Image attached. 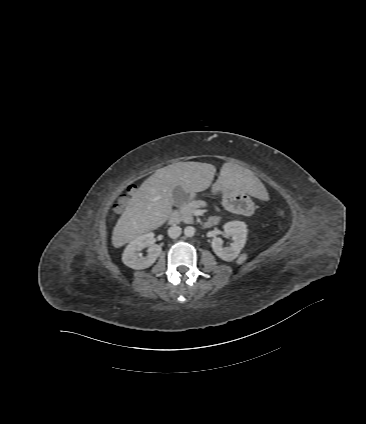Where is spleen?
<instances>
[{
	"instance_id": "obj_1",
	"label": "spleen",
	"mask_w": 366,
	"mask_h": 424,
	"mask_svg": "<svg viewBox=\"0 0 366 424\" xmlns=\"http://www.w3.org/2000/svg\"><path fill=\"white\" fill-rule=\"evenodd\" d=\"M246 258H247V255H246V254L242 255V256L240 257V259H239L238 263H239V264H242L243 262H245Z\"/></svg>"
}]
</instances>
